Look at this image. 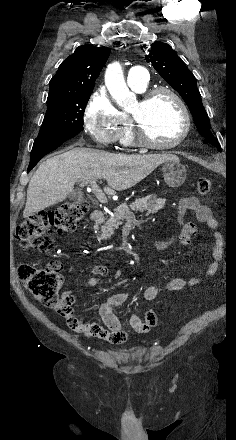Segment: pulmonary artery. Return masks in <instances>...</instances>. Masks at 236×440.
<instances>
[{"mask_svg": "<svg viewBox=\"0 0 236 440\" xmlns=\"http://www.w3.org/2000/svg\"><path fill=\"white\" fill-rule=\"evenodd\" d=\"M149 81V73L145 67L133 66L129 69L127 82L130 86L144 87Z\"/></svg>", "mask_w": 236, "mask_h": 440, "instance_id": "1", "label": "pulmonary artery"}]
</instances>
